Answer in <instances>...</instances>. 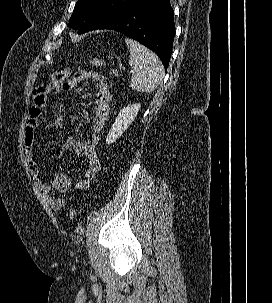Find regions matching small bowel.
I'll return each mask as SVG.
<instances>
[{"mask_svg": "<svg viewBox=\"0 0 272 303\" xmlns=\"http://www.w3.org/2000/svg\"><path fill=\"white\" fill-rule=\"evenodd\" d=\"M91 80L97 88V94L93 105L94 117L90 135L85 139L67 140L56 152L58 157H63L68 150L74 151L78 156L87 161V167L82 179L74 181L65 173L57 172L53 175L51 184L43 181L41 170L35 157L36 131L42 109L50 93L49 86H41L33 93L32 105L28 111L25 127V152L28 158L29 169L40 191L45 196L49 206L56 211L65 208L66 200L63 196H56L55 192L64 194L71 189H88L101 169V162L97 154V146L100 133L110 113L112 94L106 79L93 71H80L72 79L65 81L61 86L63 93L73 90L79 83Z\"/></svg>", "mask_w": 272, "mask_h": 303, "instance_id": "c3829d8e", "label": "small bowel"}]
</instances>
